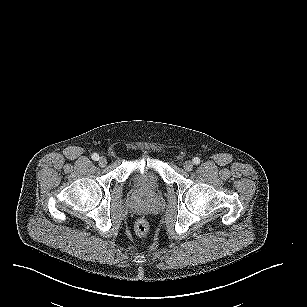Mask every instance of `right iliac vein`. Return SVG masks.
<instances>
[{
    "label": "right iliac vein",
    "mask_w": 307,
    "mask_h": 307,
    "mask_svg": "<svg viewBox=\"0 0 307 307\" xmlns=\"http://www.w3.org/2000/svg\"><path fill=\"white\" fill-rule=\"evenodd\" d=\"M107 165V159L105 157H101L99 159V166L100 167H105Z\"/></svg>",
    "instance_id": "63e3f726"
}]
</instances>
